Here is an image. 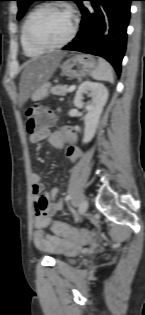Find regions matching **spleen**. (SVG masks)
Wrapping results in <instances>:
<instances>
[{"mask_svg": "<svg viewBox=\"0 0 145 315\" xmlns=\"http://www.w3.org/2000/svg\"><path fill=\"white\" fill-rule=\"evenodd\" d=\"M91 77L95 80L107 81L114 83V73L113 68L105 59L99 58L98 66L91 73Z\"/></svg>", "mask_w": 145, "mask_h": 315, "instance_id": "3e777b00", "label": "spleen"}]
</instances>
